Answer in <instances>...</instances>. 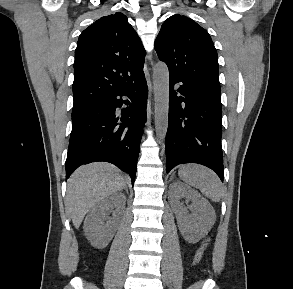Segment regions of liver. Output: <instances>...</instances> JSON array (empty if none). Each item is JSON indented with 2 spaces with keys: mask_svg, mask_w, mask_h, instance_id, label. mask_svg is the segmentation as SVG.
I'll use <instances>...</instances> for the list:
<instances>
[{
  "mask_svg": "<svg viewBox=\"0 0 293 289\" xmlns=\"http://www.w3.org/2000/svg\"><path fill=\"white\" fill-rule=\"evenodd\" d=\"M125 185L124 176L112 164L98 162L78 168L68 180L65 200L74 227H80L96 203L121 191Z\"/></svg>",
  "mask_w": 293,
  "mask_h": 289,
  "instance_id": "6515ba94",
  "label": "liver"
}]
</instances>
